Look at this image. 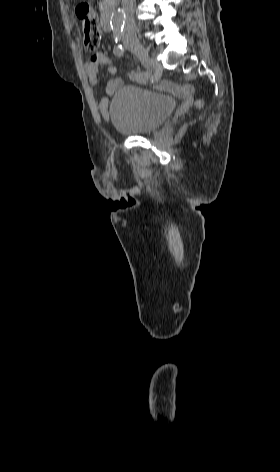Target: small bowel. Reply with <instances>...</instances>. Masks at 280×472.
<instances>
[{
  "label": "small bowel",
  "mask_w": 280,
  "mask_h": 472,
  "mask_svg": "<svg viewBox=\"0 0 280 472\" xmlns=\"http://www.w3.org/2000/svg\"><path fill=\"white\" fill-rule=\"evenodd\" d=\"M101 66H106L108 73L114 75L117 73L116 66L112 65L110 59L101 52H97L91 55L88 61L84 64V70L88 76V81L91 86H96L98 83V71ZM130 78L134 81H139L136 78V72L130 74ZM121 79H111L105 84L104 91L105 96L100 99L99 110L102 116L106 117L108 113L109 97L112 96L115 91L122 85ZM159 88L171 93L180 92V88L169 80H162L159 83Z\"/></svg>",
  "instance_id": "1"
}]
</instances>
